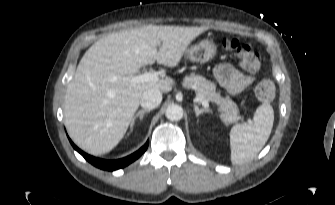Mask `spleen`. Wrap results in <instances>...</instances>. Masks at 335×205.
Wrapping results in <instances>:
<instances>
[{
    "instance_id": "spleen-1",
    "label": "spleen",
    "mask_w": 335,
    "mask_h": 205,
    "mask_svg": "<svg viewBox=\"0 0 335 205\" xmlns=\"http://www.w3.org/2000/svg\"><path fill=\"white\" fill-rule=\"evenodd\" d=\"M274 122L270 104L259 106L251 123H240L230 130L231 162L234 165L252 160L266 144Z\"/></svg>"
}]
</instances>
